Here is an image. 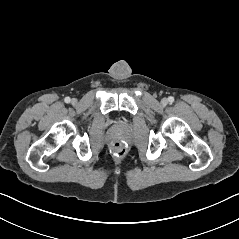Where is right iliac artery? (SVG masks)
<instances>
[{"label": "right iliac artery", "instance_id": "obj_1", "mask_svg": "<svg viewBox=\"0 0 239 239\" xmlns=\"http://www.w3.org/2000/svg\"><path fill=\"white\" fill-rule=\"evenodd\" d=\"M64 101H65L66 103H69V102L71 101V99H70L69 97H66V98L64 99Z\"/></svg>", "mask_w": 239, "mask_h": 239}]
</instances>
